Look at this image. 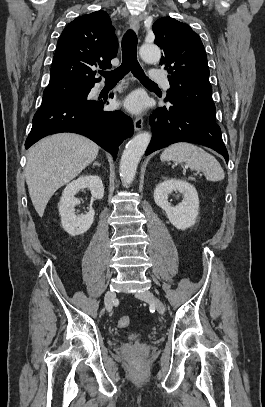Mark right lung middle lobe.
Listing matches in <instances>:
<instances>
[{
	"label": "right lung middle lobe",
	"instance_id": "1",
	"mask_svg": "<svg viewBox=\"0 0 265 407\" xmlns=\"http://www.w3.org/2000/svg\"><path fill=\"white\" fill-rule=\"evenodd\" d=\"M87 86V84L72 82L50 83L44 90L41 107L73 100L77 98Z\"/></svg>",
	"mask_w": 265,
	"mask_h": 407
}]
</instances>
